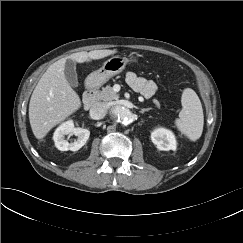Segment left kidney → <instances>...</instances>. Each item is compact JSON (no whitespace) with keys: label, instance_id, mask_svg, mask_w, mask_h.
<instances>
[{"label":"left kidney","instance_id":"1","mask_svg":"<svg viewBox=\"0 0 243 243\" xmlns=\"http://www.w3.org/2000/svg\"><path fill=\"white\" fill-rule=\"evenodd\" d=\"M151 140L159 150L176 149V139L170 130L158 128L151 133Z\"/></svg>","mask_w":243,"mask_h":243}]
</instances>
